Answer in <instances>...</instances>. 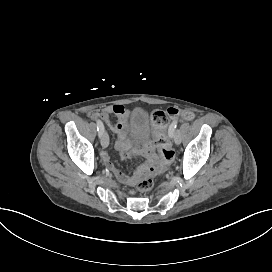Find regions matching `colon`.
<instances>
[{
    "label": "colon",
    "mask_w": 272,
    "mask_h": 272,
    "mask_svg": "<svg viewBox=\"0 0 272 272\" xmlns=\"http://www.w3.org/2000/svg\"><path fill=\"white\" fill-rule=\"evenodd\" d=\"M179 112L180 110L174 106L165 109L152 106L146 110L145 116L153 124V139L160 149L161 158L159 163L148 165L145 169V174L141 176V180L134 183L135 188L140 189L142 192H149L153 181L160 180L162 174L166 172L167 166L171 163V158L174 155V139L171 136L168 124L169 119L178 116ZM116 176L122 178L124 173L117 171Z\"/></svg>",
    "instance_id": "5ec220e1"
}]
</instances>
